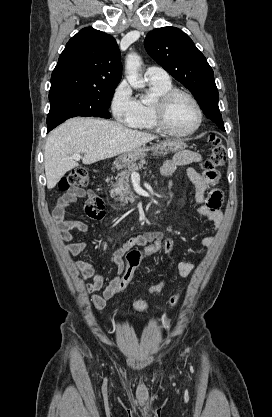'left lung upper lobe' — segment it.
Returning a JSON list of instances; mask_svg holds the SVG:
<instances>
[{
    "instance_id": "1",
    "label": "left lung upper lobe",
    "mask_w": 272,
    "mask_h": 417,
    "mask_svg": "<svg viewBox=\"0 0 272 417\" xmlns=\"http://www.w3.org/2000/svg\"><path fill=\"white\" fill-rule=\"evenodd\" d=\"M144 46L159 65L191 91L204 114L225 131L213 70L191 38L178 28L162 27L147 34Z\"/></svg>"
}]
</instances>
